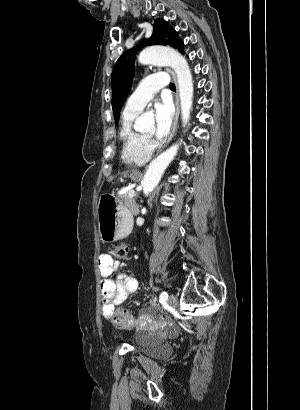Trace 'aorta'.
<instances>
[{"label": "aorta", "mask_w": 300, "mask_h": 410, "mask_svg": "<svg viewBox=\"0 0 300 410\" xmlns=\"http://www.w3.org/2000/svg\"><path fill=\"white\" fill-rule=\"evenodd\" d=\"M141 64L170 66L176 73L179 87L182 122L190 118L193 98V80L186 59L176 50L165 47H148L138 57ZM153 126V120L142 116L136 120L135 128L143 131ZM179 144H174L155 158L148 166L142 181L143 193L148 196L158 185L164 171L177 155Z\"/></svg>", "instance_id": "obj_1"}]
</instances>
